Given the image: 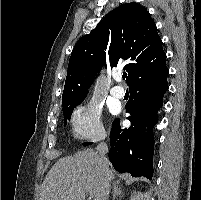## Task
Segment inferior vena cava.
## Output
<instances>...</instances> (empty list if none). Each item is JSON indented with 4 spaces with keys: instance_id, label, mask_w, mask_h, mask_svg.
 I'll return each instance as SVG.
<instances>
[{
    "instance_id": "obj_1",
    "label": "inferior vena cava",
    "mask_w": 201,
    "mask_h": 200,
    "mask_svg": "<svg viewBox=\"0 0 201 200\" xmlns=\"http://www.w3.org/2000/svg\"><path fill=\"white\" fill-rule=\"evenodd\" d=\"M96 149L100 167L106 173L108 171V160L106 158V153L108 152L107 144L101 142Z\"/></svg>"
}]
</instances>
